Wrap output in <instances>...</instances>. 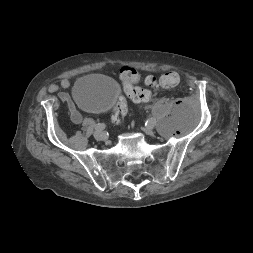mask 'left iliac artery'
I'll return each instance as SVG.
<instances>
[{"instance_id":"44dca946","label":"left iliac artery","mask_w":253,"mask_h":253,"mask_svg":"<svg viewBox=\"0 0 253 253\" xmlns=\"http://www.w3.org/2000/svg\"><path fill=\"white\" fill-rule=\"evenodd\" d=\"M146 126H155L156 125V120L154 118H149L146 123Z\"/></svg>"}]
</instances>
